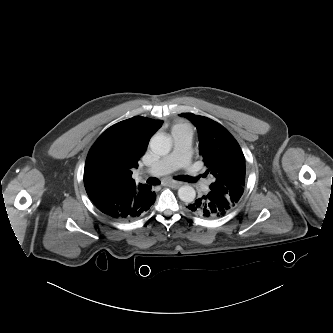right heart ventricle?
<instances>
[{
  "label": "right heart ventricle",
  "instance_id": "e07e8e85",
  "mask_svg": "<svg viewBox=\"0 0 333 333\" xmlns=\"http://www.w3.org/2000/svg\"><path fill=\"white\" fill-rule=\"evenodd\" d=\"M180 128V126H176L174 129Z\"/></svg>",
  "mask_w": 333,
  "mask_h": 333
}]
</instances>
